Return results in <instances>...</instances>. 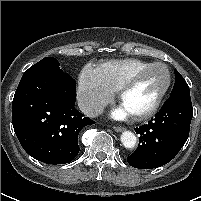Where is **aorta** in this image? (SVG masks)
<instances>
[{"mask_svg": "<svg viewBox=\"0 0 201 201\" xmlns=\"http://www.w3.org/2000/svg\"><path fill=\"white\" fill-rule=\"evenodd\" d=\"M121 142L125 148L132 149L136 145L137 138L131 131H124L121 134Z\"/></svg>", "mask_w": 201, "mask_h": 201, "instance_id": "762f6f07", "label": "aorta"}]
</instances>
